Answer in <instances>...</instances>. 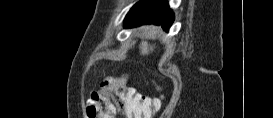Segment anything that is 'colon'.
I'll use <instances>...</instances> for the list:
<instances>
[{"mask_svg":"<svg viewBox=\"0 0 273 118\" xmlns=\"http://www.w3.org/2000/svg\"><path fill=\"white\" fill-rule=\"evenodd\" d=\"M112 85V81L106 79L100 84L101 91L92 92L88 118H115L117 112L128 118H150L159 110V98L142 96L132 89L110 91Z\"/></svg>","mask_w":273,"mask_h":118,"instance_id":"5ec220e1","label":"colon"}]
</instances>
